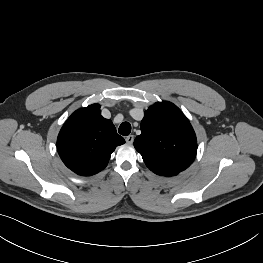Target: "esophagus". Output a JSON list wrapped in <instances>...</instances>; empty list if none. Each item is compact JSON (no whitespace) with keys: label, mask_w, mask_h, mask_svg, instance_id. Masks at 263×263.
Masks as SVG:
<instances>
[{"label":"esophagus","mask_w":263,"mask_h":263,"mask_svg":"<svg viewBox=\"0 0 263 263\" xmlns=\"http://www.w3.org/2000/svg\"><path fill=\"white\" fill-rule=\"evenodd\" d=\"M125 140H126V143H127V144H132L133 141H134V136H133V135H129V136H127V137L125 138Z\"/></svg>","instance_id":"1"}]
</instances>
